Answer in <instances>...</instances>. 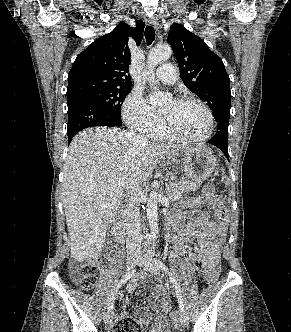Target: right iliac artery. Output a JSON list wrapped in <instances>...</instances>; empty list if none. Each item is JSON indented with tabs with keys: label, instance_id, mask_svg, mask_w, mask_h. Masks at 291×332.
Masks as SVG:
<instances>
[{
	"label": "right iliac artery",
	"instance_id": "82829eb1",
	"mask_svg": "<svg viewBox=\"0 0 291 332\" xmlns=\"http://www.w3.org/2000/svg\"><path fill=\"white\" fill-rule=\"evenodd\" d=\"M135 273V269H132L131 271L127 272L122 278L121 280L118 282L117 287H116V291L112 294V297L110 298V301L108 303V311H110L113 308V304H114V299H115V295L118 291V289L125 284Z\"/></svg>",
	"mask_w": 291,
	"mask_h": 332
}]
</instances>
